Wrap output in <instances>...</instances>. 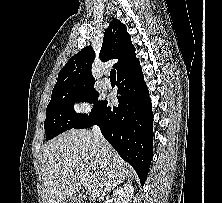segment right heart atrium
Listing matches in <instances>:
<instances>
[{
  "label": "right heart atrium",
  "instance_id": "1",
  "mask_svg": "<svg viewBox=\"0 0 222 203\" xmlns=\"http://www.w3.org/2000/svg\"><path fill=\"white\" fill-rule=\"evenodd\" d=\"M74 110L79 113V114H83V113H86L89 108H90V103H89V100L86 99V98H81L79 100H77L75 103H74Z\"/></svg>",
  "mask_w": 222,
  "mask_h": 203
}]
</instances>
